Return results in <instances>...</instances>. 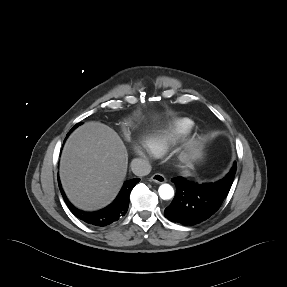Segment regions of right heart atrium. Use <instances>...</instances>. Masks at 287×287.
I'll list each match as a JSON object with an SVG mask.
<instances>
[{
  "label": "right heart atrium",
  "instance_id": "right-heart-atrium-1",
  "mask_svg": "<svg viewBox=\"0 0 287 287\" xmlns=\"http://www.w3.org/2000/svg\"><path fill=\"white\" fill-rule=\"evenodd\" d=\"M133 150L138 155L145 156L148 153L149 149H148L147 143L144 140L139 139L133 143Z\"/></svg>",
  "mask_w": 287,
  "mask_h": 287
}]
</instances>
